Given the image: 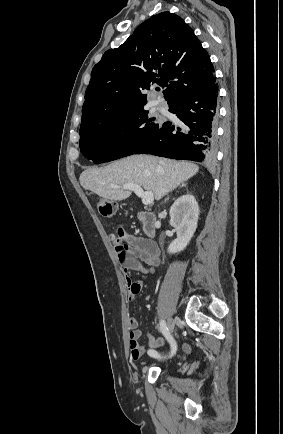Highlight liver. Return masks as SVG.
Here are the masks:
<instances>
[{
  "label": "liver",
  "mask_w": 283,
  "mask_h": 434,
  "mask_svg": "<svg viewBox=\"0 0 283 434\" xmlns=\"http://www.w3.org/2000/svg\"><path fill=\"white\" fill-rule=\"evenodd\" d=\"M198 171L199 167L190 162L131 155L105 167L87 168L79 181L84 189L111 201L130 197L131 191L122 188L125 184H137L160 200Z\"/></svg>",
  "instance_id": "1"
}]
</instances>
